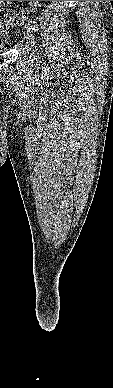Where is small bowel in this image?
Returning a JSON list of instances; mask_svg holds the SVG:
<instances>
[{
    "instance_id": "1",
    "label": "small bowel",
    "mask_w": 113,
    "mask_h": 388,
    "mask_svg": "<svg viewBox=\"0 0 113 388\" xmlns=\"http://www.w3.org/2000/svg\"><path fill=\"white\" fill-rule=\"evenodd\" d=\"M13 1H0V12L7 6L11 5Z\"/></svg>"
}]
</instances>
